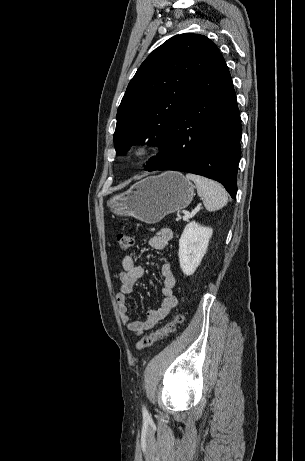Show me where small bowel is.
Returning <instances> with one entry per match:
<instances>
[{
	"label": "small bowel",
	"mask_w": 305,
	"mask_h": 461,
	"mask_svg": "<svg viewBox=\"0 0 305 461\" xmlns=\"http://www.w3.org/2000/svg\"><path fill=\"white\" fill-rule=\"evenodd\" d=\"M172 235V231L169 228H160L149 238L148 245L153 249H164L172 239ZM121 266L122 269L119 272L121 284L115 294L118 312L122 324L133 334L140 335L152 329L178 305V298L174 294L176 285L175 273L169 262H164L161 265L160 271L163 279L161 293L163 297L158 307L148 310L144 319L132 320L128 314L129 307L126 295L133 291L136 283L144 276L145 267L131 255L123 257Z\"/></svg>",
	"instance_id": "c3829d8e"
}]
</instances>
